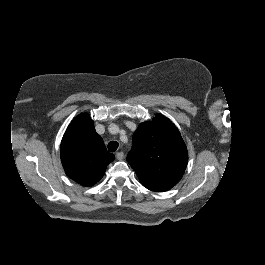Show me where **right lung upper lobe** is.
<instances>
[{
  "mask_svg": "<svg viewBox=\"0 0 265 265\" xmlns=\"http://www.w3.org/2000/svg\"><path fill=\"white\" fill-rule=\"evenodd\" d=\"M60 155L66 175L82 186L98 182L107 165L114 160L87 113L75 117L68 126L61 141Z\"/></svg>",
  "mask_w": 265,
  "mask_h": 265,
  "instance_id": "obj_1",
  "label": "right lung upper lobe"
}]
</instances>
